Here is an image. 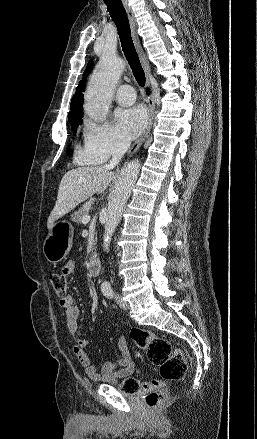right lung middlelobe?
<instances>
[{"label": "right lung middle lobe", "instance_id": "dd1d6c3e", "mask_svg": "<svg viewBox=\"0 0 257 439\" xmlns=\"http://www.w3.org/2000/svg\"><path fill=\"white\" fill-rule=\"evenodd\" d=\"M82 117H83V114H81V113H69L68 114V121H69L74 132L77 131L78 125H80L82 123Z\"/></svg>", "mask_w": 257, "mask_h": 439}]
</instances>
